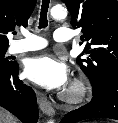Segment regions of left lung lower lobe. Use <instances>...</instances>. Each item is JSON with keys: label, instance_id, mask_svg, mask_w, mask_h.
<instances>
[{"label": "left lung lower lobe", "instance_id": "obj_1", "mask_svg": "<svg viewBox=\"0 0 118 123\" xmlns=\"http://www.w3.org/2000/svg\"><path fill=\"white\" fill-rule=\"evenodd\" d=\"M91 118L118 120V73L108 75L99 86L93 87L91 102L67 113L60 123H75Z\"/></svg>", "mask_w": 118, "mask_h": 123}]
</instances>
